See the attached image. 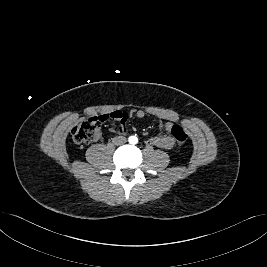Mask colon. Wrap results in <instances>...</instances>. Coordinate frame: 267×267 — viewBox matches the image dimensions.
I'll return each mask as SVG.
<instances>
[{"label": "colon", "instance_id": "5ec220e1", "mask_svg": "<svg viewBox=\"0 0 267 267\" xmlns=\"http://www.w3.org/2000/svg\"><path fill=\"white\" fill-rule=\"evenodd\" d=\"M118 117H120L122 120L126 119V115L121 112L118 113ZM107 119H109L107 115H100L92 116L82 120L70 131V137L72 141L80 145L94 141L98 138L101 131V126ZM170 133L180 145L185 144L188 140L186 132L179 125H173L170 129Z\"/></svg>", "mask_w": 267, "mask_h": 267}]
</instances>
